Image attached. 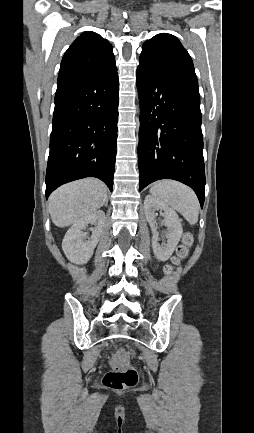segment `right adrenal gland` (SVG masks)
<instances>
[{"label":"right adrenal gland","instance_id":"1","mask_svg":"<svg viewBox=\"0 0 254 433\" xmlns=\"http://www.w3.org/2000/svg\"><path fill=\"white\" fill-rule=\"evenodd\" d=\"M105 206H106V207L108 206V199H107L106 202H105Z\"/></svg>","mask_w":254,"mask_h":433}]
</instances>
